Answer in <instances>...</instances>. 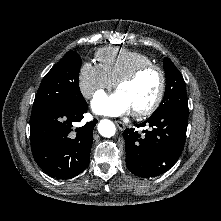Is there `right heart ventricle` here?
Instances as JSON below:
<instances>
[{"instance_id":"right-heart-ventricle-1","label":"right heart ventricle","mask_w":221,"mask_h":221,"mask_svg":"<svg viewBox=\"0 0 221 221\" xmlns=\"http://www.w3.org/2000/svg\"><path fill=\"white\" fill-rule=\"evenodd\" d=\"M96 60L98 66L115 83L137 66L152 63L151 58L144 53L116 47L99 50Z\"/></svg>"}]
</instances>
